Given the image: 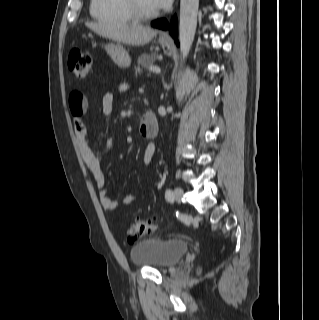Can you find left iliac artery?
Here are the masks:
<instances>
[{"label":"left iliac artery","instance_id":"44dca946","mask_svg":"<svg viewBox=\"0 0 319 320\" xmlns=\"http://www.w3.org/2000/svg\"><path fill=\"white\" fill-rule=\"evenodd\" d=\"M165 198H166L167 201H173L174 195H173V192L170 189H167L165 191Z\"/></svg>","mask_w":319,"mask_h":320}]
</instances>
